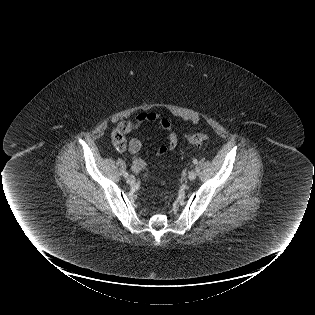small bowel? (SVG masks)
<instances>
[{
    "label": "small bowel",
    "mask_w": 315,
    "mask_h": 315,
    "mask_svg": "<svg viewBox=\"0 0 315 315\" xmlns=\"http://www.w3.org/2000/svg\"><path fill=\"white\" fill-rule=\"evenodd\" d=\"M152 122L157 123L163 131L167 134L168 142L161 145L157 149V155H164L168 151L176 148L178 139L176 133L171 127V123L167 117L156 112H140L136 114L131 120L122 121L119 128L123 133H130L136 130L143 123ZM142 147V142L139 138H132L129 142V152L132 156L131 169L134 173H140L146 167V162L139 156Z\"/></svg>",
    "instance_id": "obj_1"
}]
</instances>
